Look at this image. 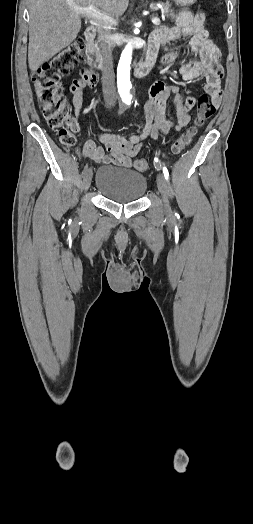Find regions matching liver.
<instances>
[{
	"label": "liver",
	"mask_w": 253,
	"mask_h": 524,
	"mask_svg": "<svg viewBox=\"0 0 253 524\" xmlns=\"http://www.w3.org/2000/svg\"><path fill=\"white\" fill-rule=\"evenodd\" d=\"M72 5L97 9L111 17H120L128 0H29L28 63L32 72L70 45L81 28L80 14Z\"/></svg>",
	"instance_id": "6515ba94"
}]
</instances>
